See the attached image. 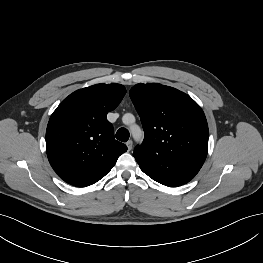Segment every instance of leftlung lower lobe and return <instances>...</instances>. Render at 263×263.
Masks as SVG:
<instances>
[{
	"label": "left lung lower lobe",
	"instance_id": "obj_1",
	"mask_svg": "<svg viewBox=\"0 0 263 263\" xmlns=\"http://www.w3.org/2000/svg\"><path fill=\"white\" fill-rule=\"evenodd\" d=\"M141 170L156 182L168 187H177L188 183L197 173L175 164H163L154 170H147L140 165Z\"/></svg>",
	"mask_w": 263,
	"mask_h": 263
}]
</instances>
